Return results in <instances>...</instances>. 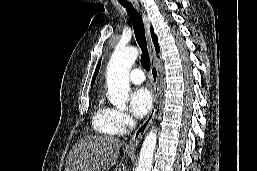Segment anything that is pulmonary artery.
I'll return each mask as SVG.
<instances>
[{"mask_svg":"<svg viewBox=\"0 0 257 171\" xmlns=\"http://www.w3.org/2000/svg\"><path fill=\"white\" fill-rule=\"evenodd\" d=\"M129 79L133 84H141L145 80V75L141 69L135 68L130 72Z\"/></svg>","mask_w":257,"mask_h":171,"instance_id":"e3ab8cb5","label":"pulmonary artery"}]
</instances>
